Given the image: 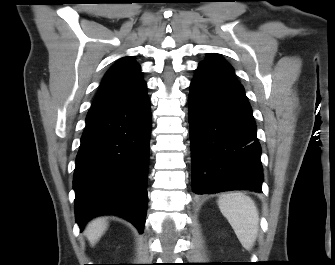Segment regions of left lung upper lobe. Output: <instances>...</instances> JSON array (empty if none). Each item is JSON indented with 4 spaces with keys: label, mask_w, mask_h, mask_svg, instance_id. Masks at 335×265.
<instances>
[{
    "label": "left lung upper lobe",
    "mask_w": 335,
    "mask_h": 265,
    "mask_svg": "<svg viewBox=\"0 0 335 265\" xmlns=\"http://www.w3.org/2000/svg\"><path fill=\"white\" fill-rule=\"evenodd\" d=\"M199 66L212 67L216 69L225 70L230 73H234L232 66L228 62H226L222 57H220L218 54L208 55V57L205 60H203L199 64Z\"/></svg>",
    "instance_id": "1"
}]
</instances>
